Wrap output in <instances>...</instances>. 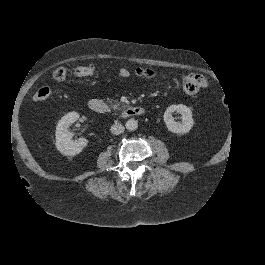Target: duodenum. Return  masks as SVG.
<instances>
[{
  "label": "duodenum",
  "mask_w": 265,
  "mask_h": 265,
  "mask_svg": "<svg viewBox=\"0 0 265 265\" xmlns=\"http://www.w3.org/2000/svg\"><path fill=\"white\" fill-rule=\"evenodd\" d=\"M88 106L92 111L99 113V114H105L109 111L107 104L97 98L90 99L88 102ZM144 112L145 110L140 106H131V107L126 108L122 112V116L125 118L141 116L144 114Z\"/></svg>",
  "instance_id": "duodenum-1"
}]
</instances>
